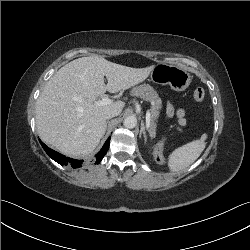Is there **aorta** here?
Wrapping results in <instances>:
<instances>
[{"instance_id":"1","label":"aorta","mask_w":250,"mask_h":250,"mask_svg":"<svg viewBox=\"0 0 250 250\" xmlns=\"http://www.w3.org/2000/svg\"><path fill=\"white\" fill-rule=\"evenodd\" d=\"M137 124V119L134 116H129L127 118L124 119L123 125L126 128L132 129L136 126Z\"/></svg>"}]
</instances>
